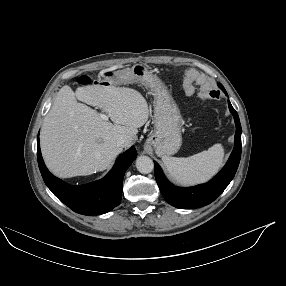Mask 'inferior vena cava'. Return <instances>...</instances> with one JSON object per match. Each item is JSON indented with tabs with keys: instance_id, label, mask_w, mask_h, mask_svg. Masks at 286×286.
<instances>
[{
	"instance_id": "602c4592",
	"label": "inferior vena cava",
	"mask_w": 286,
	"mask_h": 286,
	"mask_svg": "<svg viewBox=\"0 0 286 286\" xmlns=\"http://www.w3.org/2000/svg\"><path fill=\"white\" fill-rule=\"evenodd\" d=\"M117 145L118 146H121V147H125L126 146V139H124V138H119L118 140H117Z\"/></svg>"
}]
</instances>
